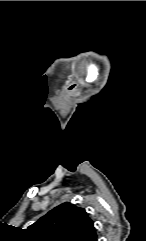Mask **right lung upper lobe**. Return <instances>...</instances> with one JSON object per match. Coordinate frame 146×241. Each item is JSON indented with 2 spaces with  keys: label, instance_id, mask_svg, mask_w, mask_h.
Here are the masks:
<instances>
[{
  "label": "right lung upper lobe",
  "instance_id": "right-lung-upper-lobe-1",
  "mask_svg": "<svg viewBox=\"0 0 146 241\" xmlns=\"http://www.w3.org/2000/svg\"><path fill=\"white\" fill-rule=\"evenodd\" d=\"M31 241H97L93 221L83 208L63 203L28 227Z\"/></svg>",
  "mask_w": 146,
  "mask_h": 241
}]
</instances>
